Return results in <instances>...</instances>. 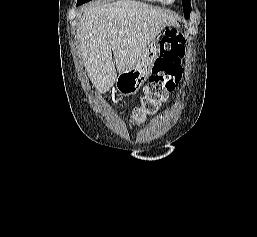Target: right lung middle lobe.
<instances>
[{
	"mask_svg": "<svg viewBox=\"0 0 257 237\" xmlns=\"http://www.w3.org/2000/svg\"><path fill=\"white\" fill-rule=\"evenodd\" d=\"M88 1H90V0H78L77 6H78V5H81V4H83V3H86V2H88Z\"/></svg>",
	"mask_w": 257,
	"mask_h": 237,
	"instance_id": "dd1d6c3e",
	"label": "right lung middle lobe"
}]
</instances>
